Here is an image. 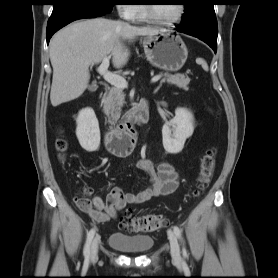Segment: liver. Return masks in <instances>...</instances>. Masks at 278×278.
<instances>
[{
	"label": "liver",
	"instance_id": "obj_1",
	"mask_svg": "<svg viewBox=\"0 0 278 278\" xmlns=\"http://www.w3.org/2000/svg\"><path fill=\"white\" fill-rule=\"evenodd\" d=\"M164 30L136 27L104 18L75 22L58 31L50 41L53 79L50 92L52 106L80 97L88 87L89 67L112 57L115 68L123 67L129 51L123 41L137 36H154Z\"/></svg>",
	"mask_w": 278,
	"mask_h": 278
}]
</instances>
